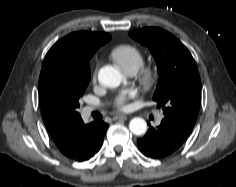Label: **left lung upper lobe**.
I'll list each match as a JSON object with an SVG mask.
<instances>
[{
	"mask_svg": "<svg viewBox=\"0 0 236 187\" xmlns=\"http://www.w3.org/2000/svg\"><path fill=\"white\" fill-rule=\"evenodd\" d=\"M129 35L147 46L157 63L159 81L153 100L162 106L165 118L192 130L199 112L201 81L191 53L161 28H141Z\"/></svg>",
	"mask_w": 236,
	"mask_h": 187,
	"instance_id": "obj_1",
	"label": "left lung upper lobe"
}]
</instances>
